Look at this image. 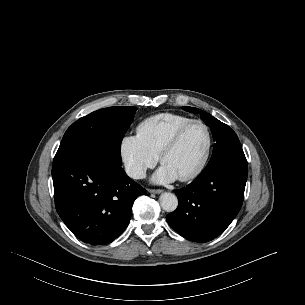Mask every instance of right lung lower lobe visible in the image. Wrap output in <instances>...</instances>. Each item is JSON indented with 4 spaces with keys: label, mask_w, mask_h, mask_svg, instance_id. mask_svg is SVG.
I'll return each instance as SVG.
<instances>
[{
    "label": "right lung lower lobe",
    "mask_w": 305,
    "mask_h": 305,
    "mask_svg": "<svg viewBox=\"0 0 305 305\" xmlns=\"http://www.w3.org/2000/svg\"><path fill=\"white\" fill-rule=\"evenodd\" d=\"M52 178L59 216L77 238L92 245L117 238L129 224L133 202L146 193L121 162L95 148L55 155Z\"/></svg>",
    "instance_id": "right-lung-lower-lobe-1"
}]
</instances>
